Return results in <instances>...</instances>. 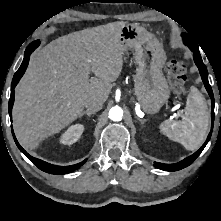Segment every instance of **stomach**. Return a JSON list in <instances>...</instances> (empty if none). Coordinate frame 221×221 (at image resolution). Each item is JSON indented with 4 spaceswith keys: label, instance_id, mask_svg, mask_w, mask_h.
I'll return each instance as SVG.
<instances>
[{
    "label": "stomach",
    "instance_id": "1",
    "mask_svg": "<svg viewBox=\"0 0 221 221\" xmlns=\"http://www.w3.org/2000/svg\"><path fill=\"white\" fill-rule=\"evenodd\" d=\"M124 53L134 52L138 65L135 82V96L146 113H157L167 102L170 89L162 68L166 54L158 40L138 24L125 25L120 34Z\"/></svg>",
    "mask_w": 221,
    "mask_h": 221
}]
</instances>
